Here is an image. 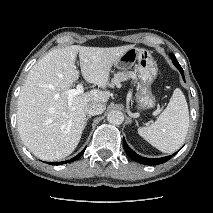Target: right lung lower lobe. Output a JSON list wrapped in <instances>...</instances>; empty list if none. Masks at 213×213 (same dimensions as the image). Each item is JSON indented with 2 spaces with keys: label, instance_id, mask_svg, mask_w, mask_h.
<instances>
[{
  "label": "right lung lower lobe",
  "instance_id": "98d812e1",
  "mask_svg": "<svg viewBox=\"0 0 213 213\" xmlns=\"http://www.w3.org/2000/svg\"><path fill=\"white\" fill-rule=\"evenodd\" d=\"M84 151H85V149L83 151H81L77 156H75L74 158H72L70 160H66V161H63V162H53V163H49V164L61 165V164H64V163H69V162L75 161L84 153Z\"/></svg>",
  "mask_w": 213,
  "mask_h": 213
}]
</instances>
